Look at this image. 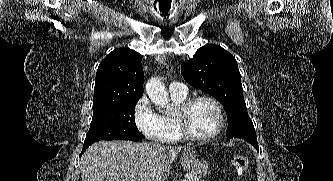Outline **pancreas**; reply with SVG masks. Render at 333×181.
<instances>
[{
  "label": "pancreas",
  "mask_w": 333,
  "mask_h": 181,
  "mask_svg": "<svg viewBox=\"0 0 333 181\" xmlns=\"http://www.w3.org/2000/svg\"><path fill=\"white\" fill-rule=\"evenodd\" d=\"M194 180L199 181L197 178H194V179H187V180H184V181H194Z\"/></svg>",
  "instance_id": "obj_1"
}]
</instances>
